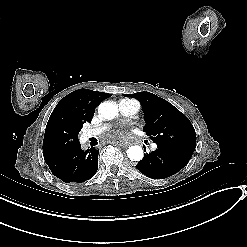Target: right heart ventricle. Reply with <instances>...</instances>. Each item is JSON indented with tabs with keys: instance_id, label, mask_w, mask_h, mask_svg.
Segmentation results:
<instances>
[{
	"instance_id": "obj_1",
	"label": "right heart ventricle",
	"mask_w": 247,
	"mask_h": 247,
	"mask_svg": "<svg viewBox=\"0 0 247 247\" xmlns=\"http://www.w3.org/2000/svg\"><path fill=\"white\" fill-rule=\"evenodd\" d=\"M118 105H119L120 108L122 106H124V105H133V106L136 107V109H138L139 106H140L137 101L131 100V99H127V98H124V99L119 100Z\"/></svg>"
}]
</instances>
